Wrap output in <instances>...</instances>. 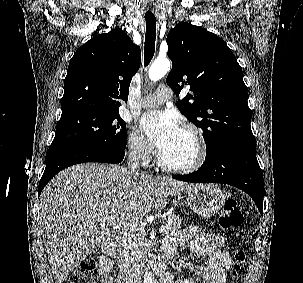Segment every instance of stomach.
<instances>
[{"label": "stomach", "instance_id": "obj_1", "mask_svg": "<svg viewBox=\"0 0 303 283\" xmlns=\"http://www.w3.org/2000/svg\"><path fill=\"white\" fill-rule=\"evenodd\" d=\"M187 205L202 217L216 214L226 201L224 192L214 185H196L186 189Z\"/></svg>", "mask_w": 303, "mask_h": 283}]
</instances>
